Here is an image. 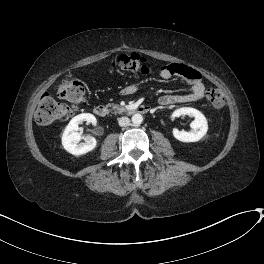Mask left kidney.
<instances>
[{
	"instance_id": "obj_1",
	"label": "left kidney",
	"mask_w": 264,
	"mask_h": 264,
	"mask_svg": "<svg viewBox=\"0 0 264 264\" xmlns=\"http://www.w3.org/2000/svg\"><path fill=\"white\" fill-rule=\"evenodd\" d=\"M182 115H188L194 118L190 124L192 131L187 132L184 130L179 131L178 129H173L174 137L182 142H196L203 138L208 130L206 117L199 110L191 107H183L175 110L172 117H180Z\"/></svg>"
}]
</instances>
